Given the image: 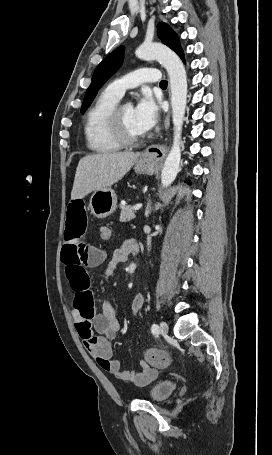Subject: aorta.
<instances>
[{
  "mask_svg": "<svg viewBox=\"0 0 272 455\" xmlns=\"http://www.w3.org/2000/svg\"><path fill=\"white\" fill-rule=\"evenodd\" d=\"M143 60H157L167 70L171 87L172 122L174 136L172 148L166 157L161 173L163 187H168L175 180L181 160V134L187 102V76L185 67L168 47L159 43H143L135 52Z\"/></svg>",
  "mask_w": 272,
  "mask_h": 455,
  "instance_id": "762f6f07",
  "label": "aorta"
}]
</instances>
